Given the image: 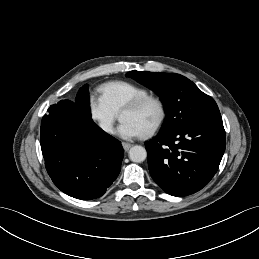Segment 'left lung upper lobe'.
Instances as JSON below:
<instances>
[{
    "label": "left lung upper lobe",
    "mask_w": 259,
    "mask_h": 259,
    "mask_svg": "<svg viewBox=\"0 0 259 259\" xmlns=\"http://www.w3.org/2000/svg\"><path fill=\"white\" fill-rule=\"evenodd\" d=\"M126 76L155 91L164 103L167 117L160 133L221 119L214 99L180 74L130 71Z\"/></svg>",
    "instance_id": "left-lung-upper-lobe-1"
}]
</instances>
